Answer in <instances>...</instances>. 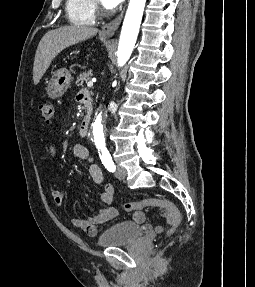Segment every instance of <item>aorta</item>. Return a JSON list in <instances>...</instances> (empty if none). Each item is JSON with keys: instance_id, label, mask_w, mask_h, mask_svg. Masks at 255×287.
<instances>
[{"instance_id": "762f6f07", "label": "aorta", "mask_w": 255, "mask_h": 287, "mask_svg": "<svg viewBox=\"0 0 255 287\" xmlns=\"http://www.w3.org/2000/svg\"><path fill=\"white\" fill-rule=\"evenodd\" d=\"M146 0H130L119 40L118 65L123 66L134 49L144 12ZM106 107L98 109L91 125V133L97 147L105 145Z\"/></svg>"}]
</instances>
